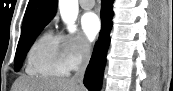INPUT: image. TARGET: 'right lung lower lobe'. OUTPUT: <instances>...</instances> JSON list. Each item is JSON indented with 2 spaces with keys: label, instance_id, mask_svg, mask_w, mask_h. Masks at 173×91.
Segmentation results:
<instances>
[{
  "label": "right lung lower lobe",
  "instance_id": "obj_1",
  "mask_svg": "<svg viewBox=\"0 0 173 91\" xmlns=\"http://www.w3.org/2000/svg\"><path fill=\"white\" fill-rule=\"evenodd\" d=\"M112 3L113 0H102V29L84 77V85L89 91H98L102 83L106 53L110 43L109 34L113 17Z\"/></svg>",
  "mask_w": 173,
  "mask_h": 91
}]
</instances>
